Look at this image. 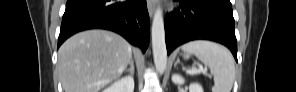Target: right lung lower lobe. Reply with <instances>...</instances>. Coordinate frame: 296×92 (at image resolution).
I'll return each instance as SVG.
<instances>
[{"mask_svg":"<svg viewBox=\"0 0 296 92\" xmlns=\"http://www.w3.org/2000/svg\"><path fill=\"white\" fill-rule=\"evenodd\" d=\"M95 28L117 32L145 51L150 28L146 0H68L58 47L71 35Z\"/></svg>","mask_w":296,"mask_h":92,"instance_id":"98d812e1","label":"right lung lower lobe"}]
</instances>
